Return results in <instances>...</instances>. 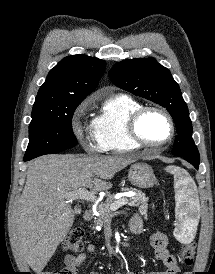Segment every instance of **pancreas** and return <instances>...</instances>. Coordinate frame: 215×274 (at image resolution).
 <instances>
[{
  "instance_id": "cf45deb5",
  "label": "pancreas",
  "mask_w": 215,
  "mask_h": 274,
  "mask_svg": "<svg viewBox=\"0 0 215 274\" xmlns=\"http://www.w3.org/2000/svg\"><path fill=\"white\" fill-rule=\"evenodd\" d=\"M123 191H133L135 196L131 198L129 206L139 207V212L146 216L148 207V197L141 191L134 188H123ZM115 202L114 196L108 197L105 203H102L97 209V215L95 216L94 225H104L106 221L111 219L110 206Z\"/></svg>"
}]
</instances>
